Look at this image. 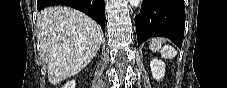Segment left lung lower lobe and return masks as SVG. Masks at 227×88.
I'll use <instances>...</instances> for the list:
<instances>
[{
	"label": "left lung lower lobe",
	"instance_id": "obj_1",
	"mask_svg": "<svg viewBox=\"0 0 227 88\" xmlns=\"http://www.w3.org/2000/svg\"><path fill=\"white\" fill-rule=\"evenodd\" d=\"M138 45L153 36L169 38L179 48L185 28L183 0H143L135 17Z\"/></svg>",
	"mask_w": 227,
	"mask_h": 88
}]
</instances>
